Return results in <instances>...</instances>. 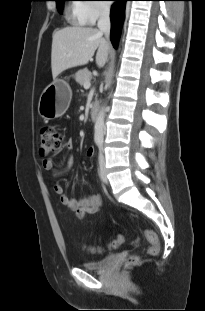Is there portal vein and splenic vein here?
Returning a JSON list of instances; mask_svg holds the SVG:
<instances>
[{
    "mask_svg": "<svg viewBox=\"0 0 205 311\" xmlns=\"http://www.w3.org/2000/svg\"><path fill=\"white\" fill-rule=\"evenodd\" d=\"M90 86H91L90 81H86V82L84 83V88H85V89H89Z\"/></svg>",
    "mask_w": 205,
    "mask_h": 311,
    "instance_id": "obj_1",
    "label": "portal vein and splenic vein"
}]
</instances>
